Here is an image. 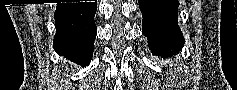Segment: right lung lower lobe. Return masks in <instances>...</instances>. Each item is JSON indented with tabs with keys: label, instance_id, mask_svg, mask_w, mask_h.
<instances>
[{
	"label": "right lung lower lobe",
	"instance_id": "obj_1",
	"mask_svg": "<svg viewBox=\"0 0 237 90\" xmlns=\"http://www.w3.org/2000/svg\"><path fill=\"white\" fill-rule=\"evenodd\" d=\"M96 2L58 3L55 11L54 49L60 55L86 66L93 56L97 28Z\"/></svg>",
	"mask_w": 237,
	"mask_h": 90
}]
</instances>
